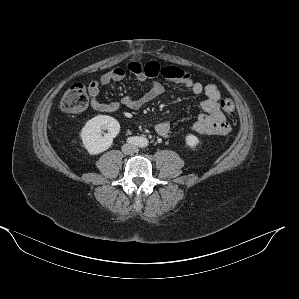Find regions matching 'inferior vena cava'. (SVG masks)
I'll list each match as a JSON object with an SVG mask.
<instances>
[{
  "label": "inferior vena cava",
  "mask_w": 299,
  "mask_h": 299,
  "mask_svg": "<svg viewBox=\"0 0 299 299\" xmlns=\"http://www.w3.org/2000/svg\"><path fill=\"white\" fill-rule=\"evenodd\" d=\"M122 151L126 155L134 154L137 151V147L133 144H125L122 147Z\"/></svg>",
  "instance_id": "602c4592"
}]
</instances>
